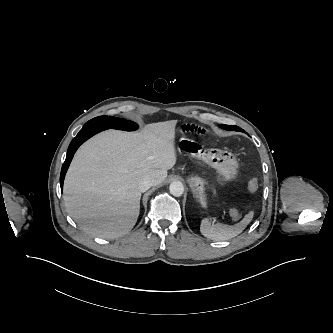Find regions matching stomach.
Segmentation results:
<instances>
[{"instance_id":"stomach-1","label":"stomach","mask_w":333,"mask_h":333,"mask_svg":"<svg viewBox=\"0 0 333 333\" xmlns=\"http://www.w3.org/2000/svg\"><path fill=\"white\" fill-rule=\"evenodd\" d=\"M179 148L216 169L222 177V181H231L237 174L238 162L231 152L221 149L204 150L196 145L193 140L187 138L180 139ZM188 181L194 196L199 200L203 207H206L207 201L205 189L208 187V182L198 176H192Z\"/></svg>"}]
</instances>
